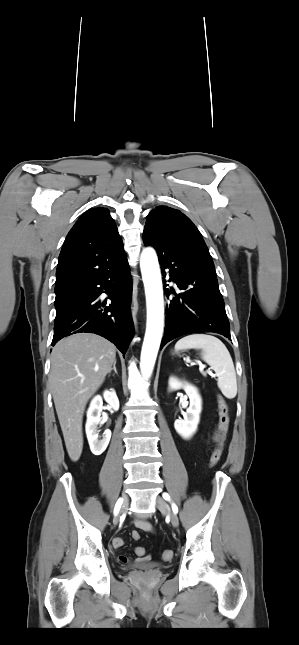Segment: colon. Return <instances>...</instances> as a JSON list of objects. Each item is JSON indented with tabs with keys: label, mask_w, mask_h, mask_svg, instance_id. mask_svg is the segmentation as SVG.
<instances>
[{
	"label": "colon",
	"mask_w": 299,
	"mask_h": 645,
	"mask_svg": "<svg viewBox=\"0 0 299 645\" xmlns=\"http://www.w3.org/2000/svg\"><path fill=\"white\" fill-rule=\"evenodd\" d=\"M217 403H218V415H219L218 441L210 457V461H209L210 467H215L221 458L223 445H224V441H225L228 426H229V408L226 400L222 396H218ZM132 537L134 540H138L140 538V534L134 531L132 533ZM135 552L139 557L145 556V549L143 547H137L135 549ZM172 557H173V552L171 550L163 551L162 558L164 560H170L172 559Z\"/></svg>",
	"instance_id": "5ec220e1"
}]
</instances>
